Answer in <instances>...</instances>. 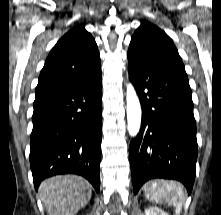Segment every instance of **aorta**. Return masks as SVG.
Returning a JSON list of instances; mask_svg holds the SVG:
<instances>
[{
  "label": "aorta",
  "mask_w": 221,
  "mask_h": 215,
  "mask_svg": "<svg viewBox=\"0 0 221 215\" xmlns=\"http://www.w3.org/2000/svg\"><path fill=\"white\" fill-rule=\"evenodd\" d=\"M126 101L128 131L130 136L134 137L140 130L141 106L136 91L130 83L127 85Z\"/></svg>",
  "instance_id": "1"
}]
</instances>
